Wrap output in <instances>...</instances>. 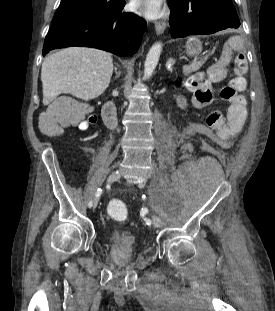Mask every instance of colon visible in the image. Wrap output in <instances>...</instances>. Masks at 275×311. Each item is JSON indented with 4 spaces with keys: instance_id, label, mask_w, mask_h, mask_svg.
Returning <instances> with one entry per match:
<instances>
[{
    "instance_id": "5ec220e1",
    "label": "colon",
    "mask_w": 275,
    "mask_h": 311,
    "mask_svg": "<svg viewBox=\"0 0 275 311\" xmlns=\"http://www.w3.org/2000/svg\"><path fill=\"white\" fill-rule=\"evenodd\" d=\"M234 70L236 76L223 87L220 93L221 99L225 102L233 101L246 87L245 57H235ZM79 121L80 116L74 112L73 103L70 100H59L54 102L40 117V127L45 134L55 135L61 127L77 124ZM108 211L115 218L123 219L127 215L126 206L119 200H111L108 203Z\"/></svg>"
}]
</instances>
